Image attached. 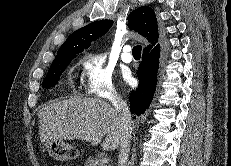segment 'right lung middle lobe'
<instances>
[{
	"mask_svg": "<svg viewBox=\"0 0 231 166\" xmlns=\"http://www.w3.org/2000/svg\"><path fill=\"white\" fill-rule=\"evenodd\" d=\"M75 57L76 55H61L56 57L43 80V87H54L57 85L66 66H68L71 60Z\"/></svg>",
	"mask_w": 231,
	"mask_h": 166,
	"instance_id": "dd1d6c3e",
	"label": "right lung middle lobe"
}]
</instances>
